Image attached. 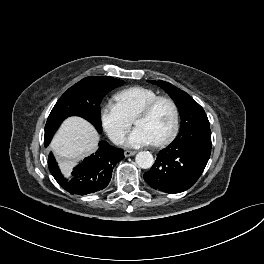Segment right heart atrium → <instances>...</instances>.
Segmentation results:
<instances>
[{"mask_svg": "<svg viewBox=\"0 0 264 264\" xmlns=\"http://www.w3.org/2000/svg\"><path fill=\"white\" fill-rule=\"evenodd\" d=\"M99 118L102 128L116 144L123 141L132 124V120L126 116L121 107L111 100L101 106Z\"/></svg>", "mask_w": 264, "mask_h": 264, "instance_id": "obj_1", "label": "right heart atrium"}]
</instances>
